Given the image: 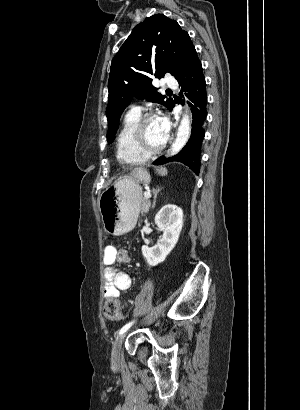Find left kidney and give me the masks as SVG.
<instances>
[{
	"label": "left kidney",
	"mask_w": 300,
	"mask_h": 410,
	"mask_svg": "<svg viewBox=\"0 0 300 410\" xmlns=\"http://www.w3.org/2000/svg\"><path fill=\"white\" fill-rule=\"evenodd\" d=\"M155 224L163 236L153 247L142 246V254L150 266L163 262L178 242L183 227V211L174 204L163 206L155 216Z\"/></svg>",
	"instance_id": "1"
}]
</instances>
